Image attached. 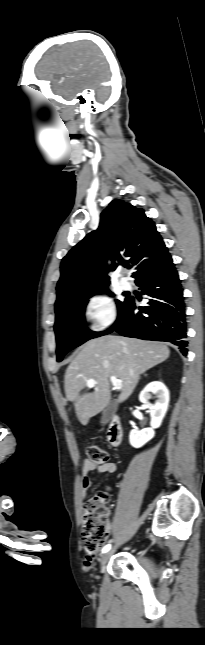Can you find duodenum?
Segmentation results:
<instances>
[{"instance_id": "duodenum-1", "label": "duodenum", "mask_w": 205, "mask_h": 645, "mask_svg": "<svg viewBox=\"0 0 205 645\" xmlns=\"http://www.w3.org/2000/svg\"><path fill=\"white\" fill-rule=\"evenodd\" d=\"M123 437L122 424L118 416H114L108 426L107 439L112 446H118Z\"/></svg>"}]
</instances>
